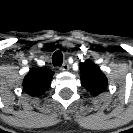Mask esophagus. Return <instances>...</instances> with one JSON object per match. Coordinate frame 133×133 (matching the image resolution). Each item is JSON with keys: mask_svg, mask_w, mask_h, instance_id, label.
Here are the masks:
<instances>
[{"mask_svg": "<svg viewBox=\"0 0 133 133\" xmlns=\"http://www.w3.org/2000/svg\"><path fill=\"white\" fill-rule=\"evenodd\" d=\"M69 64L67 63V61H65L63 64H62V66L60 67V70L61 71H67V70H69Z\"/></svg>", "mask_w": 133, "mask_h": 133, "instance_id": "obj_1", "label": "esophagus"}]
</instances>
